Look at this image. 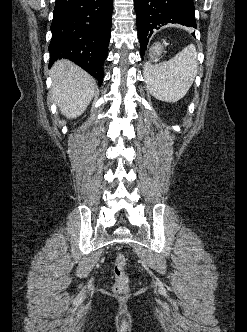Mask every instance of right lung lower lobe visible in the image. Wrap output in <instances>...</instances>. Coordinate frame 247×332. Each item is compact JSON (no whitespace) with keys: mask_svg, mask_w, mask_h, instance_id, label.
I'll use <instances>...</instances> for the list:
<instances>
[{"mask_svg":"<svg viewBox=\"0 0 247 332\" xmlns=\"http://www.w3.org/2000/svg\"><path fill=\"white\" fill-rule=\"evenodd\" d=\"M113 0H56L49 45L50 64L67 58L103 81L108 54Z\"/></svg>","mask_w":247,"mask_h":332,"instance_id":"98d812e1","label":"right lung lower lobe"}]
</instances>
